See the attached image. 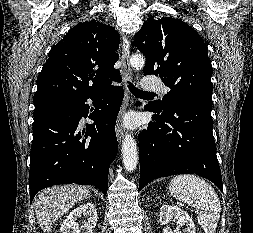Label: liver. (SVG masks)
Here are the masks:
<instances>
[{
	"label": "liver",
	"instance_id": "6515ba94",
	"mask_svg": "<svg viewBox=\"0 0 253 233\" xmlns=\"http://www.w3.org/2000/svg\"><path fill=\"white\" fill-rule=\"evenodd\" d=\"M88 195L86 187L76 185L54 186L38 193L34 208L43 232L49 233L60 217Z\"/></svg>",
	"mask_w": 253,
	"mask_h": 233
}]
</instances>
